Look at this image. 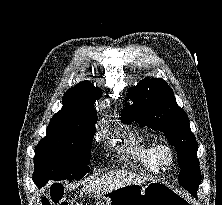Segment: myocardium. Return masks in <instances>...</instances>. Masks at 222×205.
<instances>
[{"mask_svg":"<svg viewBox=\"0 0 222 205\" xmlns=\"http://www.w3.org/2000/svg\"><path fill=\"white\" fill-rule=\"evenodd\" d=\"M156 156L164 166H170L175 161V151L171 145L166 143L156 145Z\"/></svg>","mask_w":222,"mask_h":205,"instance_id":"myocardium-1","label":"myocardium"}]
</instances>
